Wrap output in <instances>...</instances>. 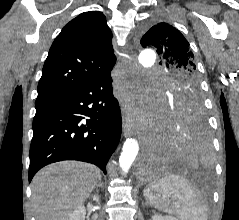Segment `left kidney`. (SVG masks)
Returning <instances> with one entry per match:
<instances>
[{
    "instance_id": "left-kidney-1",
    "label": "left kidney",
    "mask_w": 239,
    "mask_h": 220,
    "mask_svg": "<svg viewBox=\"0 0 239 220\" xmlns=\"http://www.w3.org/2000/svg\"><path fill=\"white\" fill-rule=\"evenodd\" d=\"M152 220H178V219L171 215L162 216L160 214H155L152 216Z\"/></svg>"
}]
</instances>
